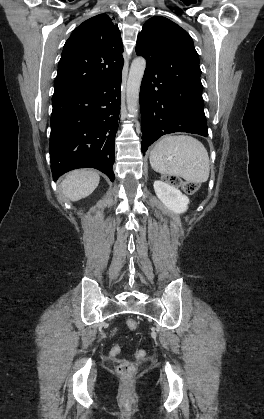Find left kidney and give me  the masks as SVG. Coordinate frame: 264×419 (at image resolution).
Masks as SVG:
<instances>
[{
  "label": "left kidney",
  "mask_w": 264,
  "mask_h": 419,
  "mask_svg": "<svg viewBox=\"0 0 264 419\" xmlns=\"http://www.w3.org/2000/svg\"><path fill=\"white\" fill-rule=\"evenodd\" d=\"M154 190L159 200L172 212L180 214L188 209L189 198L181 191L161 180L154 182Z\"/></svg>",
  "instance_id": "obj_1"
}]
</instances>
